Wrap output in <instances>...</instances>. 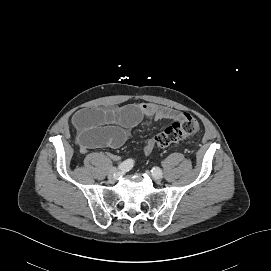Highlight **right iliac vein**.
Instances as JSON below:
<instances>
[{"label":"right iliac vein","instance_id":"right-iliac-vein-1","mask_svg":"<svg viewBox=\"0 0 271 271\" xmlns=\"http://www.w3.org/2000/svg\"><path fill=\"white\" fill-rule=\"evenodd\" d=\"M119 171L116 168H112L109 171L108 178L110 182H115L118 178Z\"/></svg>","mask_w":271,"mask_h":271}]
</instances>
